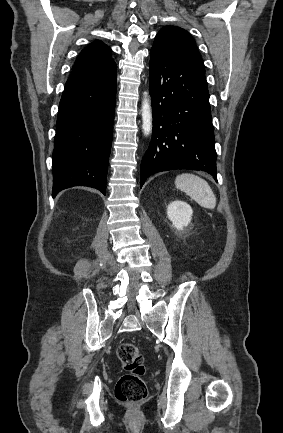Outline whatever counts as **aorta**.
<instances>
[{"instance_id": "1", "label": "aorta", "mask_w": 283, "mask_h": 433, "mask_svg": "<svg viewBox=\"0 0 283 433\" xmlns=\"http://www.w3.org/2000/svg\"><path fill=\"white\" fill-rule=\"evenodd\" d=\"M142 101V130L145 136H148L152 132L153 116L151 112V104L148 99L147 93L144 94Z\"/></svg>"}]
</instances>
